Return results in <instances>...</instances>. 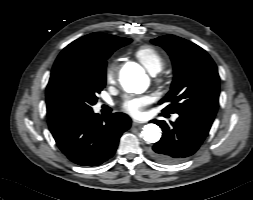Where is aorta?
<instances>
[{"label": "aorta", "mask_w": 253, "mask_h": 200, "mask_svg": "<svg viewBox=\"0 0 253 200\" xmlns=\"http://www.w3.org/2000/svg\"><path fill=\"white\" fill-rule=\"evenodd\" d=\"M121 85L129 93H143L149 86V78L141 69L125 71L120 78ZM141 136L148 143H155L161 138V129L150 123L143 127Z\"/></svg>", "instance_id": "aorta-1"}]
</instances>
